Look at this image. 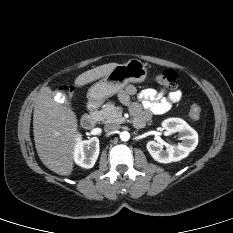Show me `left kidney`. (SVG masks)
<instances>
[{
	"instance_id": "left-kidney-1",
	"label": "left kidney",
	"mask_w": 233,
	"mask_h": 233,
	"mask_svg": "<svg viewBox=\"0 0 233 233\" xmlns=\"http://www.w3.org/2000/svg\"><path fill=\"white\" fill-rule=\"evenodd\" d=\"M163 129L168 134L178 132L183 140L176 146L163 150V145L156 141H149L146 148L152 158L160 163L177 162L186 158L198 145V133L180 118H169L163 121Z\"/></svg>"
}]
</instances>
